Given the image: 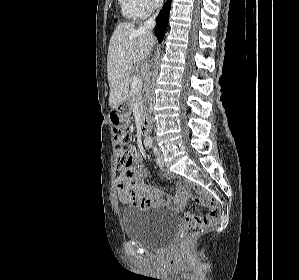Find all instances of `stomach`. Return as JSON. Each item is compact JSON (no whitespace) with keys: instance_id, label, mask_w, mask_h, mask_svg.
I'll return each instance as SVG.
<instances>
[{"instance_id":"1","label":"stomach","mask_w":299,"mask_h":280,"mask_svg":"<svg viewBox=\"0 0 299 280\" xmlns=\"http://www.w3.org/2000/svg\"><path fill=\"white\" fill-rule=\"evenodd\" d=\"M109 122L117 128H125L130 123V107L122 104L111 110L108 114Z\"/></svg>"}]
</instances>
